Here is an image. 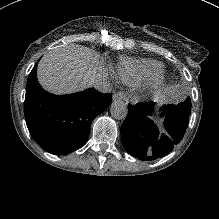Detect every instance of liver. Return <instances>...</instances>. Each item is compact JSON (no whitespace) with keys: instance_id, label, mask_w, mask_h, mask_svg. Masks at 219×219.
I'll use <instances>...</instances> for the list:
<instances>
[{"instance_id":"1","label":"liver","mask_w":219,"mask_h":219,"mask_svg":"<svg viewBox=\"0 0 219 219\" xmlns=\"http://www.w3.org/2000/svg\"><path fill=\"white\" fill-rule=\"evenodd\" d=\"M101 76L98 58L87 48L66 47L50 52L37 70L41 85L57 94L89 88Z\"/></svg>"}]
</instances>
